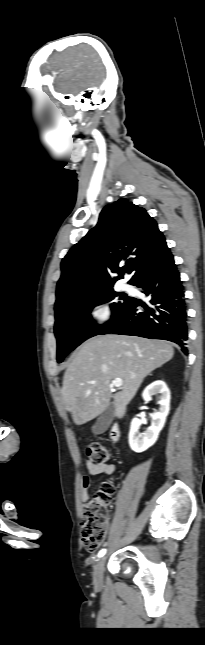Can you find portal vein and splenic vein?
<instances>
[{
	"label": "portal vein and splenic vein",
	"mask_w": 205,
	"mask_h": 645,
	"mask_svg": "<svg viewBox=\"0 0 205 645\" xmlns=\"http://www.w3.org/2000/svg\"><path fill=\"white\" fill-rule=\"evenodd\" d=\"M90 383H91V384H94V381H92V382H90ZM122 384H123V383H122V379H120V378H116V379H114V380H113V385H114L116 388H120V387L122 386Z\"/></svg>",
	"instance_id": "1"
}]
</instances>
